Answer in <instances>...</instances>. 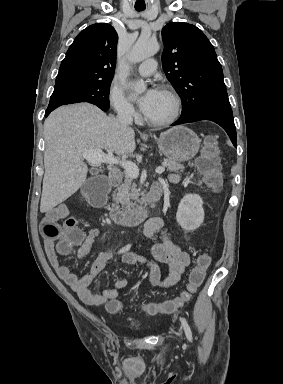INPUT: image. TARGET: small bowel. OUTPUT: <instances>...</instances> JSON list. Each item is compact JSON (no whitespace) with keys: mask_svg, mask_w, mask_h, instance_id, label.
I'll use <instances>...</instances> for the list:
<instances>
[{"mask_svg":"<svg viewBox=\"0 0 283 384\" xmlns=\"http://www.w3.org/2000/svg\"><path fill=\"white\" fill-rule=\"evenodd\" d=\"M169 180L176 183L179 181V176L170 175ZM68 214L67 207L64 204H59L46 213L42 226L46 222H56L64 219ZM158 232L161 234V242L152 244L150 257L140 256L132 252H124L122 261L129 265L136 263L144 264L148 269V279L151 285L170 287L180 281L185 269L190 264V257L188 253L169 238L162 218L152 217L148 219L143 229L144 236L151 240L154 234ZM98 234L99 230L97 228L88 231L87 239L78 251L79 257L82 258L88 253L92 240ZM44 245L48 260L58 276L71 286L86 304L99 306L114 301L118 298L120 291L128 286V280L121 278L115 282L112 288L105 289L100 293H94L89 289V285L100 275L106 264L112 259L110 253L99 254L94 260L90 272L82 277H78L70 268L60 262L54 239L44 235ZM156 262L169 266L170 270L165 278H162Z\"/></svg>","mask_w":283,"mask_h":384,"instance_id":"c3829d8e","label":"small bowel"}]
</instances>
